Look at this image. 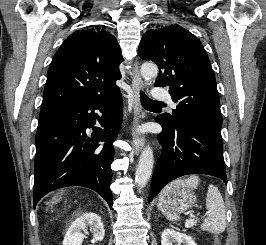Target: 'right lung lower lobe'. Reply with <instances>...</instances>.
<instances>
[{"instance_id":"98d812e1","label":"right lung lower lobe","mask_w":266,"mask_h":245,"mask_svg":"<svg viewBox=\"0 0 266 245\" xmlns=\"http://www.w3.org/2000/svg\"><path fill=\"white\" fill-rule=\"evenodd\" d=\"M94 110H99L98 116ZM120 91L76 103L39 120L36 133L34 208L47 193L83 186L99 193L112 208V142L122 123ZM99 121L103 129L93 127ZM88 128L93 131L89 132Z\"/></svg>"}]
</instances>
